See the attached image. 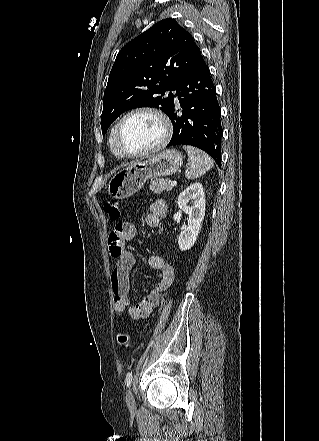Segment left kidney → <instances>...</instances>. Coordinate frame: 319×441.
<instances>
[{
  "label": "left kidney",
  "mask_w": 319,
  "mask_h": 441,
  "mask_svg": "<svg viewBox=\"0 0 319 441\" xmlns=\"http://www.w3.org/2000/svg\"><path fill=\"white\" fill-rule=\"evenodd\" d=\"M189 202L191 207L188 206ZM177 204L189 216L188 226L178 237L179 248L185 251L195 244L205 215V195L201 183H194L182 191Z\"/></svg>",
  "instance_id": "1"
}]
</instances>
